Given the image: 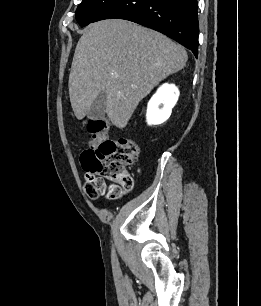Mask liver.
<instances>
[{
	"instance_id": "6515ba94",
	"label": "liver",
	"mask_w": 261,
	"mask_h": 306,
	"mask_svg": "<svg viewBox=\"0 0 261 306\" xmlns=\"http://www.w3.org/2000/svg\"><path fill=\"white\" fill-rule=\"evenodd\" d=\"M187 59L182 46L152 29L122 19L92 23L77 43L69 75L76 118L82 120L104 91L109 120L124 128L139 102Z\"/></svg>"
}]
</instances>
